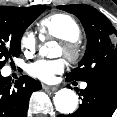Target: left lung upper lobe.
Returning a JSON list of instances; mask_svg holds the SVG:
<instances>
[{
    "mask_svg": "<svg viewBox=\"0 0 117 117\" xmlns=\"http://www.w3.org/2000/svg\"><path fill=\"white\" fill-rule=\"evenodd\" d=\"M76 15L87 35V48L78 67L67 77L88 81L94 77L117 74V31L110 20L95 8L85 4L58 6Z\"/></svg>",
    "mask_w": 117,
    "mask_h": 117,
    "instance_id": "obj_1",
    "label": "left lung upper lobe"
}]
</instances>
